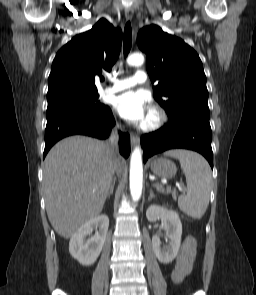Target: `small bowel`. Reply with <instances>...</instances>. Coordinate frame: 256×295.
<instances>
[{
  "mask_svg": "<svg viewBox=\"0 0 256 295\" xmlns=\"http://www.w3.org/2000/svg\"><path fill=\"white\" fill-rule=\"evenodd\" d=\"M196 254V241L192 236H188L184 241L181 250L176 258V265L171 272V278L179 282L191 270Z\"/></svg>",
  "mask_w": 256,
  "mask_h": 295,
  "instance_id": "1",
  "label": "small bowel"
}]
</instances>
